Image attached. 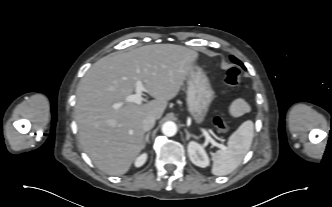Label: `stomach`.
Wrapping results in <instances>:
<instances>
[{
  "label": "stomach",
  "mask_w": 332,
  "mask_h": 207,
  "mask_svg": "<svg viewBox=\"0 0 332 207\" xmlns=\"http://www.w3.org/2000/svg\"><path fill=\"white\" fill-rule=\"evenodd\" d=\"M213 90L206 73L197 66L187 78V107L195 123L201 124L213 100Z\"/></svg>",
  "instance_id": "0dacf381"
}]
</instances>
